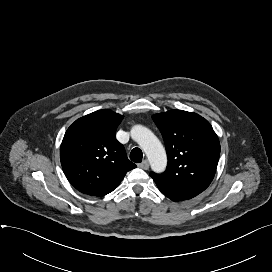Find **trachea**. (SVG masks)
Wrapping results in <instances>:
<instances>
[{
  "label": "trachea",
  "mask_w": 272,
  "mask_h": 272,
  "mask_svg": "<svg viewBox=\"0 0 272 272\" xmlns=\"http://www.w3.org/2000/svg\"><path fill=\"white\" fill-rule=\"evenodd\" d=\"M143 153L140 148H134L130 153V159L135 163L142 162Z\"/></svg>",
  "instance_id": "obj_1"
}]
</instances>
